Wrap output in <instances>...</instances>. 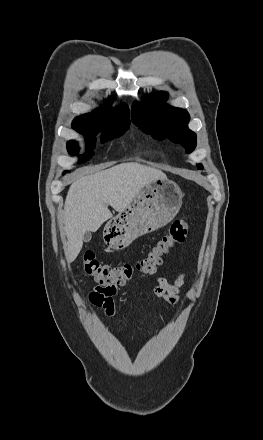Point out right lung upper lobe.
I'll return each mask as SVG.
<instances>
[{
  "label": "right lung upper lobe",
  "mask_w": 263,
  "mask_h": 440,
  "mask_svg": "<svg viewBox=\"0 0 263 440\" xmlns=\"http://www.w3.org/2000/svg\"><path fill=\"white\" fill-rule=\"evenodd\" d=\"M120 117L129 118V108L126 104L122 105L120 108ZM97 116H100L101 119L108 118V117H118V114L113 112V108L110 106V102L108 101V107L107 110H94L93 113L85 114L80 117H77L72 124L73 128H84L86 127L90 122L98 119Z\"/></svg>",
  "instance_id": "obj_1"
}]
</instances>
